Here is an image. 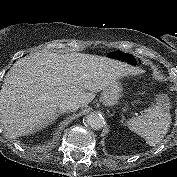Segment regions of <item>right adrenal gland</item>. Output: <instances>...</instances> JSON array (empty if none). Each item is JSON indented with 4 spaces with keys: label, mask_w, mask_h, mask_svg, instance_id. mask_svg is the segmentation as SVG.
Segmentation results:
<instances>
[{
    "label": "right adrenal gland",
    "mask_w": 177,
    "mask_h": 177,
    "mask_svg": "<svg viewBox=\"0 0 177 177\" xmlns=\"http://www.w3.org/2000/svg\"><path fill=\"white\" fill-rule=\"evenodd\" d=\"M60 115H62V112H58V113L54 116V118H53V120L51 121V123L54 122Z\"/></svg>",
    "instance_id": "right-adrenal-gland-1"
}]
</instances>
